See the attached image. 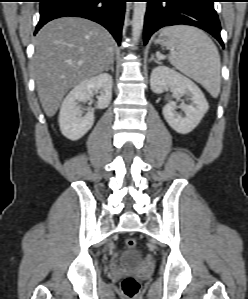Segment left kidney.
Masks as SVG:
<instances>
[{
	"instance_id": "obj_1",
	"label": "left kidney",
	"mask_w": 248,
	"mask_h": 299,
	"mask_svg": "<svg viewBox=\"0 0 248 299\" xmlns=\"http://www.w3.org/2000/svg\"><path fill=\"white\" fill-rule=\"evenodd\" d=\"M150 86L151 90L157 94L169 88L174 94L189 96L191 104L181 106L184 116L176 112L175 102H169L163 107L165 120L180 134L190 133L209 109L208 102L200 88L187 77L168 67L160 66L152 70Z\"/></svg>"
}]
</instances>
